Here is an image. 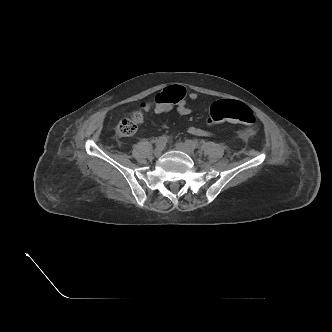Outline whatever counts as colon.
Returning a JSON list of instances; mask_svg holds the SVG:
<instances>
[{
	"mask_svg": "<svg viewBox=\"0 0 332 332\" xmlns=\"http://www.w3.org/2000/svg\"><path fill=\"white\" fill-rule=\"evenodd\" d=\"M185 90L183 87L174 85L165 88L155 97V102L160 104H175L183 99ZM143 109L148 107L147 103L141 105ZM142 120V114L139 110H134L129 117L123 118L117 125V132L122 136L133 135ZM234 122L251 125L255 122L253 111L246 104L235 101L222 99L214 102L210 108L208 123L210 125L222 122Z\"/></svg>",
	"mask_w": 332,
	"mask_h": 332,
	"instance_id": "colon-1",
	"label": "colon"
}]
</instances>
